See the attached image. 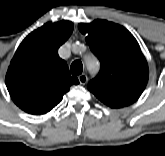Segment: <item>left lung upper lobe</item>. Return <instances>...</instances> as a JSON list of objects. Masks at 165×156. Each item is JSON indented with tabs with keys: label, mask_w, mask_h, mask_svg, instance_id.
Listing matches in <instances>:
<instances>
[{
	"label": "left lung upper lobe",
	"mask_w": 165,
	"mask_h": 156,
	"mask_svg": "<svg viewBox=\"0 0 165 156\" xmlns=\"http://www.w3.org/2000/svg\"><path fill=\"white\" fill-rule=\"evenodd\" d=\"M91 51L101 61L88 89L111 108L128 106L140 97L148 80V64L133 35L124 27L97 19L80 23Z\"/></svg>",
	"instance_id": "5c2ea615"
}]
</instances>
